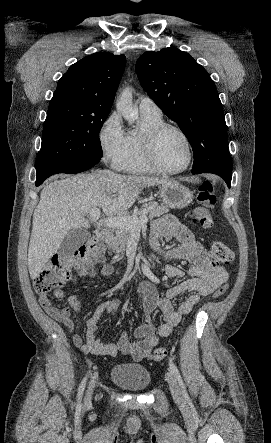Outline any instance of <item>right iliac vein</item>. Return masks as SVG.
I'll return each instance as SVG.
<instances>
[{"label": "right iliac vein", "mask_w": 271, "mask_h": 443, "mask_svg": "<svg viewBox=\"0 0 271 443\" xmlns=\"http://www.w3.org/2000/svg\"><path fill=\"white\" fill-rule=\"evenodd\" d=\"M94 387H95V383H94V381H91L90 384H89L88 390H87L85 401H84V406L85 407H88L90 405V403H91Z\"/></svg>", "instance_id": "obj_1"}]
</instances>
